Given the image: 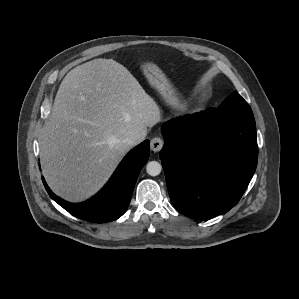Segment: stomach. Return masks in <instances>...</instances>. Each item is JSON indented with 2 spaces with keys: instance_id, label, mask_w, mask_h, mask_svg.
Instances as JSON below:
<instances>
[{
  "instance_id": "obj_1",
  "label": "stomach",
  "mask_w": 299,
  "mask_h": 299,
  "mask_svg": "<svg viewBox=\"0 0 299 299\" xmlns=\"http://www.w3.org/2000/svg\"><path fill=\"white\" fill-rule=\"evenodd\" d=\"M149 69H150V72H151V74H147V76L149 77V79L157 87H161L162 85L166 86V80H165L164 76L156 68H154V67H150ZM167 91L171 95V92L168 90V88H167ZM171 98H172V103H175L174 98L172 96H171Z\"/></svg>"
}]
</instances>
